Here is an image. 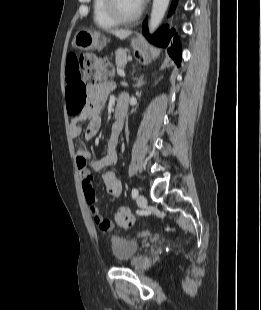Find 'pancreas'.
Returning a JSON list of instances; mask_svg holds the SVG:
<instances>
[{"label":"pancreas","mask_w":261,"mask_h":310,"mask_svg":"<svg viewBox=\"0 0 261 310\" xmlns=\"http://www.w3.org/2000/svg\"><path fill=\"white\" fill-rule=\"evenodd\" d=\"M128 59H127V55H126V51L119 49L116 51V65L118 67H125L126 63H127Z\"/></svg>","instance_id":"pancreas-1"}]
</instances>
